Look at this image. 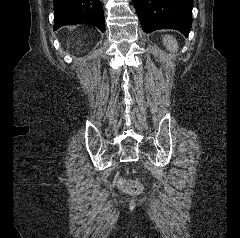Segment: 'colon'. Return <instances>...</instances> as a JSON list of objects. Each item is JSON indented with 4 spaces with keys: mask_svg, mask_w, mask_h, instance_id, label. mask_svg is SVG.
<instances>
[{
    "mask_svg": "<svg viewBox=\"0 0 240 238\" xmlns=\"http://www.w3.org/2000/svg\"><path fill=\"white\" fill-rule=\"evenodd\" d=\"M118 184L125 192L129 194H138L142 190V185L136 180L119 179Z\"/></svg>",
    "mask_w": 240,
    "mask_h": 238,
    "instance_id": "1",
    "label": "colon"
}]
</instances>
